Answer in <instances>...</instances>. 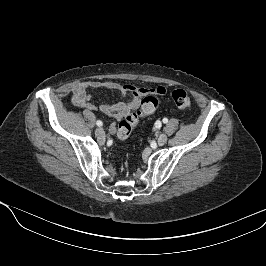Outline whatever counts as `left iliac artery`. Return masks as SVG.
Returning a JSON list of instances; mask_svg holds the SVG:
<instances>
[{"instance_id":"1","label":"left iliac artery","mask_w":266,"mask_h":266,"mask_svg":"<svg viewBox=\"0 0 266 266\" xmlns=\"http://www.w3.org/2000/svg\"><path fill=\"white\" fill-rule=\"evenodd\" d=\"M168 122V119L167 118H164L163 119V123H167Z\"/></svg>"}]
</instances>
